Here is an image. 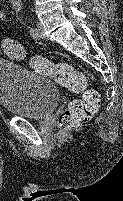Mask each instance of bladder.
<instances>
[{"label": "bladder", "instance_id": "obj_1", "mask_svg": "<svg viewBox=\"0 0 123 201\" xmlns=\"http://www.w3.org/2000/svg\"><path fill=\"white\" fill-rule=\"evenodd\" d=\"M57 87L46 76L0 59V107L10 115L47 119L59 102Z\"/></svg>", "mask_w": 123, "mask_h": 201}]
</instances>
